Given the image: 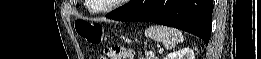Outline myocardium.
Here are the masks:
<instances>
[{
  "label": "myocardium",
  "instance_id": "1",
  "mask_svg": "<svg viewBox=\"0 0 261 59\" xmlns=\"http://www.w3.org/2000/svg\"><path fill=\"white\" fill-rule=\"evenodd\" d=\"M126 0H115L111 5L105 7V8H99V9H93L94 11L96 12H99V13H106V12H109L113 9H115L116 7L119 6L120 3L124 2Z\"/></svg>",
  "mask_w": 261,
  "mask_h": 59
}]
</instances>
